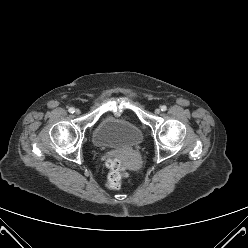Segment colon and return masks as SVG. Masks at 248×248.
Segmentation results:
<instances>
[{
  "instance_id": "5ec220e1",
  "label": "colon",
  "mask_w": 248,
  "mask_h": 248,
  "mask_svg": "<svg viewBox=\"0 0 248 248\" xmlns=\"http://www.w3.org/2000/svg\"><path fill=\"white\" fill-rule=\"evenodd\" d=\"M107 166L109 168L107 186L110 189H118L127 176L126 169L116 158H109Z\"/></svg>"
}]
</instances>
